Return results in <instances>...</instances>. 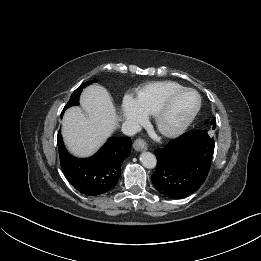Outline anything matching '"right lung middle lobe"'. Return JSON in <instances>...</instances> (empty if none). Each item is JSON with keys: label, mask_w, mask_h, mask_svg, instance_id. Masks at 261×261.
Here are the masks:
<instances>
[{"label": "right lung middle lobe", "mask_w": 261, "mask_h": 261, "mask_svg": "<svg viewBox=\"0 0 261 261\" xmlns=\"http://www.w3.org/2000/svg\"><path fill=\"white\" fill-rule=\"evenodd\" d=\"M93 82L95 81H88L86 82L85 84H81L74 92L73 94L71 95L70 97V100L68 101V103L66 104V106L64 107L61 115H63L64 111L68 108V107H71V106H74V105H79V97H80V94L82 92V90L84 89V87H86L87 85L89 84H92Z\"/></svg>", "instance_id": "right-lung-middle-lobe-1"}]
</instances>
